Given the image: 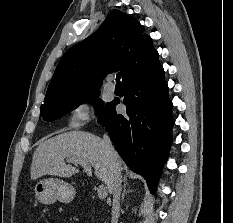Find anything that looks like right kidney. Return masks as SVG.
Masks as SVG:
<instances>
[{
    "mask_svg": "<svg viewBox=\"0 0 233 223\" xmlns=\"http://www.w3.org/2000/svg\"><path fill=\"white\" fill-rule=\"evenodd\" d=\"M137 209H133V213H136Z\"/></svg>",
    "mask_w": 233,
    "mask_h": 223,
    "instance_id": "ca27d5eb",
    "label": "right kidney"
}]
</instances>
